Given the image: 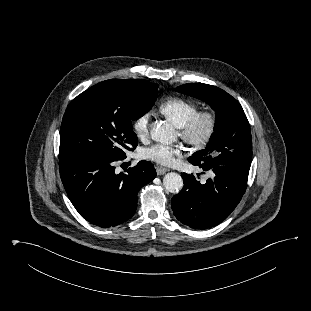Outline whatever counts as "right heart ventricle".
<instances>
[{"instance_id":"e07e8e85","label":"right heart ventricle","mask_w":311,"mask_h":311,"mask_svg":"<svg viewBox=\"0 0 311 311\" xmlns=\"http://www.w3.org/2000/svg\"><path fill=\"white\" fill-rule=\"evenodd\" d=\"M159 111L174 126L180 128L198 111V106L190 100L174 97L162 102Z\"/></svg>"}]
</instances>
